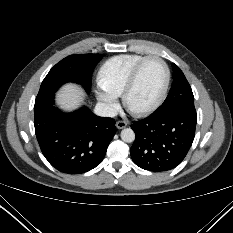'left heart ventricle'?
I'll use <instances>...</instances> for the list:
<instances>
[{
    "label": "left heart ventricle",
    "instance_id": "b2bd125f",
    "mask_svg": "<svg viewBox=\"0 0 233 233\" xmlns=\"http://www.w3.org/2000/svg\"><path fill=\"white\" fill-rule=\"evenodd\" d=\"M165 81L162 64L154 59L142 66L136 85L129 95L128 103L132 109L147 107L159 96Z\"/></svg>",
    "mask_w": 233,
    "mask_h": 233
}]
</instances>
